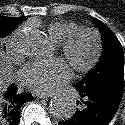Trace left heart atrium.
Segmentation results:
<instances>
[{
  "instance_id": "1",
  "label": "left heart atrium",
  "mask_w": 125,
  "mask_h": 125,
  "mask_svg": "<svg viewBox=\"0 0 125 125\" xmlns=\"http://www.w3.org/2000/svg\"><path fill=\"white\" fill-rule=\"evenodd\" d=\"M70 77L69 66L59 59L29 63L20 73L24 86L42 94L53 92L66 83Z\"/></svg>"
}]
</instances>
